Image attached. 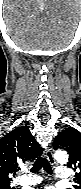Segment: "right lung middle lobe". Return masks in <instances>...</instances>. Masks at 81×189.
<instances>
[{"instance_id": "1", "label": "right lung middle lobe", "mask_w": 81, "mask_h": 189, "mask_svg": "<svg viewBox=\"0 0 81 189\" xmlns=\"http://www.w3.org/2000/svg\"><path fill=\"white\" fill-rule=\"evenodd\" d=\"M0 189H15V187H11L10 184L0 186Z\"/></svg>"}]
</instances>
